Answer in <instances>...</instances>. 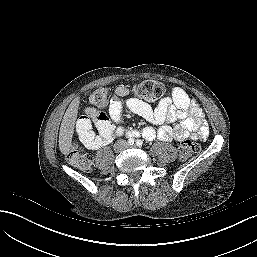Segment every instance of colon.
<instances>
[{
    "instance_id": "colon-1",
    "label": "colon",
    "mask_w": 257,
    "mask_h": 257,
    "mask_svg": "<svg viewBox=\"0 0 257 257\" xmlns=\"http://www.w3.org/2000/svg\"><path fill=\"white\" fill-rule=\"evenodd\" d=\"M134 93L141 99L146 101H155L164 94V87L161 83L156 81H142L137 83L134 88ZM109 102V89L106 87L97 88L89 97L90 107L87 113L94 116L99 112L97 109L105 108ZM198 144L186 140L180 146V157L185 160L198 151ZM68 161L75 167L80 169H88L91 166L90 156L76 144L71 146L68 153Z\"/></svg>"
}]
</instances>
